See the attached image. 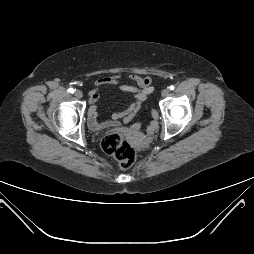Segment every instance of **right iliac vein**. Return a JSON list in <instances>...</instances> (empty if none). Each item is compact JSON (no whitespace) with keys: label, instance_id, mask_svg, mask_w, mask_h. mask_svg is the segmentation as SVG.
Here are the masks:
<instances>
[{"label":"right iliac vein","instance_id":"63e3f726","mask_svg":"<svg viewBox=\"0 0 254 254\" xmlns=\"http://www.w3.org/2000/svg\"><path fill=\"white\" fill-rule=\"evenodd\" d=\"M74 95L78 98V99H81L82 96H83V93L80 91V90H76Z\"/></svg>","mask_w":254,"mask_h":254}]
</instances>
